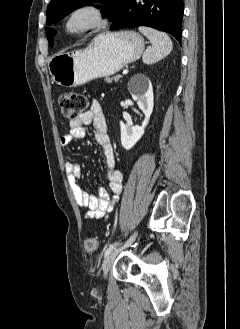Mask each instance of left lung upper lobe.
Wrapping results in <instances>:
<instances>
[{
	"mask_svg": "<svg viewBox=\"0 0 240 329\" xmlns=\"http://www.w3.org/2000/svg\"><path fill=\"white\" fill-rule=\"evenodd\" d=\"M126 0H51L47 7V24L56 23L64 18L72 10L79 8L88 2H100L104 4V7H98L101 9V13L113 21L122 8ZM47 38L49 44L53 46L54 35L57 33L54 29L46 28Z\"/></svg>",
	"mask_w": 240,
	"mask_h": 329,
	"instance_id": "left-lung-upper-lobe-1",
	"label": "left lung upper lobe"
}]
</instances>
